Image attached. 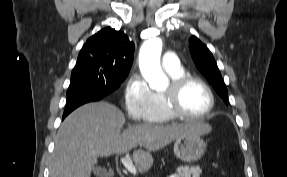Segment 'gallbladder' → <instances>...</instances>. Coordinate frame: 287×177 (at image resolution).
Returning a JSON list of instances; mask_svg holds the SVG:
<instances>
[{"mask_svg":"<svg viewBox=\"0 0 287 177\" xmlns=\"http://www.w3.org/2000/svg\"><path fill=\"white\" fill-rule=\"evenodd\" d=\"M93 172L95 175L100 176L102 174H104L106 171L105 169L101 168V167H97L93 169Z\"/></svg>","mask_w":287,"mask_h":177,"instance_id":"bac80fb5","label":"gallbladder"}]
</instances>
